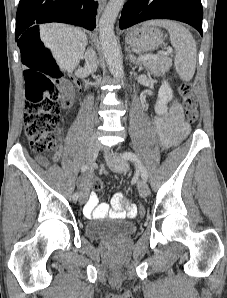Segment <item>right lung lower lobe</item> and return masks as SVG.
<instances>
[{
    "label": "right lung lower lobe",
    "mask_w": 227,
    "mask_h": 298,
    "mask_svg": "<svg viewBox=\"0 0 227 298\" xmlns=\"http://www.w3.org/2000/svg\"><path fill=\"white\" fill-rule=\"evenodd\" d=\"M96 0H20L16 15V34L21 56L31 36L39 38L36 24L61 22L93 30L96 27Z\"/></svg>",
    "instance_id": "right-lung-lower-lobe-1"
}]
</instances>
